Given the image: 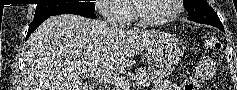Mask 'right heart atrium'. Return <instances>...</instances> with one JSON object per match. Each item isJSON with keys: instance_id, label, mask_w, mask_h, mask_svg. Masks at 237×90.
I'll return each mask as SVG.
<instances>
[{"instance_id": "right-heart-atrium-1", "label": "right heart atrium", "mask_w": 237, "mask_h": 90, "mask_svg": "<svg viewBox=\"0 0 237 90\" xmlns=\"http://www.w3.org/2000/svg\"><path fill=\"white\" fill-rule=\"evenodd\" d=\"M96 10L107 20H128V12L122 8V0H95Z\"/></svg>"}]
</instances>
